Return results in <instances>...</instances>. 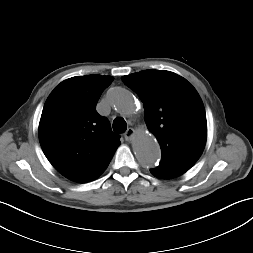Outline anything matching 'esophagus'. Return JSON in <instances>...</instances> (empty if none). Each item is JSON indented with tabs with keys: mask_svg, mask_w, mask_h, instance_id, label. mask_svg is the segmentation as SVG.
Returning a JSON list of instances; mask_svg holds the SVG:
<instances>
[{
	"mask_svg": "<svg viewBox=\"0 0 253 253\" xmlns=\"http://www.w3.org/2000/svg\"><path fill=\"white\" fill-rule=\"evenodd\" d=\"M135 131L133 128H128L127 131L124 134V137L127 141L131 140L132 137L134 136Z\"/></svg>",
	"mask_w": 253,
	"mask_h": 253,
	"instance_id": "34e87169",
	"label": "esophagus"
}]
</instances>
